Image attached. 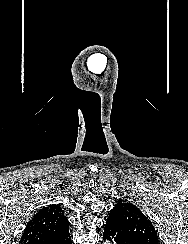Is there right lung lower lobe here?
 <instances>
[{
	"label": "right lung lower lobe",
	"instance_id": "1",
	"mask_svg": "<svg viewBox=\"0 0 188 244\" xmlns=\"http://www.w3.org/2000/svg\"><path fill=\"white\" fill-rule=\"evenodd\" d=\"M33 244H71V237L67 228L53 237L34 242Z\"/></svg>",
	"mask_w": 188,
	"mask_h": 244
}]
</instances>
